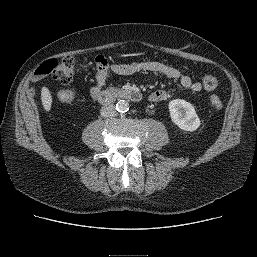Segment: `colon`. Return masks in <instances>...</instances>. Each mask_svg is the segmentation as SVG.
Here are the masks:
<instances>
[{
	"label": "colon",
	"mask_w": 257,
	"mask_h": 257,
	"mask_svg": "<svg viewBox=\"0 0 257 257\" xmlns=\"http://www.w3.org/2000/svg\"><path fill=\"white\" fill-rule=\"evenodd\" d=\"M77 64V60L73 57H64L60 60L51 59L42 63L35 74L39 78L51 75L57 81L67 84L72 81ZM202 84L206 90H214L218 85V81L212 75H205L202 79ZM75 98L76 94L72 90H62L58 94L59 101L65 104L72 103ZM209 103L213 110H220L223 105L218 95H211Z\"/></svg>",
	"instance_id": "obj_1"
}]
</instances>
